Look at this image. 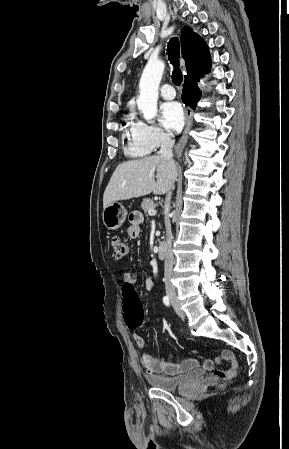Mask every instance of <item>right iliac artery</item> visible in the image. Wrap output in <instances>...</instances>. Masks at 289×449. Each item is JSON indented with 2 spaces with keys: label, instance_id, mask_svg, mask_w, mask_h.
<instances>
[{
  "label": "right iliac artery",
  "instance_id": "obj_1",
  "mask_svg": "<svg viewBox=\"0 0 289 449\" xmlns=\"http://www.w3.org/2000/svg\"><path fill=\"white\" fill-rule=\"evenodd\" d=\"M163 303H164L166 306H170V300H169L168 296H164V297H163Z\"/></svg>",
  "mask_w": 289,
  "mask_h": 449
}]
</instances>
